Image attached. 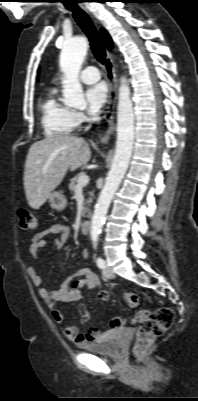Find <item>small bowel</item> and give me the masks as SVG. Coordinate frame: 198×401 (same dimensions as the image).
Listing matches in <instances>:
<instances>
[{"mask_svg": "<svg viewBox=\"0 0 198 401\" xmlns=\"http://www.w3.org/2000/svg\"><path fill=\"white\" fill-rule=\"evenodd\" d=\"M71 230L70 227L62 223H52L44 227L40 232L35 234L31 239L30 243V255L32 260L37 261L40 258V252L46 244V238L50 235H58L55 239V246L60 248L63 247L69 239ZM90 254L88 249L82 250L83 259L87 260ZM27 273L34 285L38 286V293L41 298L46 302L48 307L51 309L53 319L56 323H63L65 316L62 311L55 308L58 302H80L84 299V289H100L101 281L99 277L89 268L85 267L78 270L73 276L65 280L57 290H47L41 287V278L37 270L33 266L27 268ZM110 295L107 291L99 290L98 299L103 302H107ZM86 312V321L88 318L87 311L84 308H80ZM81 315V313H80ZM102 330L99 327H90L86 332H80L78 328L73 326H66L63 328V333L67 339L76 343L79 346H83L88 342L97 340L101 335Z\"/></svg>", "mask_w": 198, "mask_h": 401, "instance_id": "1", "label": "small bowel"}]
</instances>
